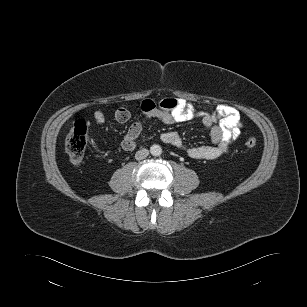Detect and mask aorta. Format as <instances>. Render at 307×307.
Listing matches in <instances>:
<instances>
[{
  "label": "aorta",
  "mask_w": 307,
  "mask_h": 307,
  "mask_svg": "<svg viewBox=\"0 0 307 307\" xmlns=\"http://www.w3.org/2000/svg\"><path fill=\"white\" fill-rule=\"evenodd\" d=\"M150 152L153 156H160L162 154V148L159 145L154 144L150 147Z\"/></svg>",
  "instance_id": "obj_1"
}]
</instances>
